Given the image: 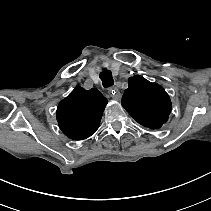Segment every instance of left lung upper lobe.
<instances>
[{"label":"left lung upper lobe","instance_id":"1","mask_svg":"<svg viewBox=\"0 0 211 211\" xmlns=\"http://www.w3.org/2000/svg\"><path fill=\"white\" fill-rule=\"evenodd\" d=\"M122 106L142 126L160 128L171 112V100L162 86L142 76L130 77Z\"/></svg>","mask_w":211,"mask_h":211}]
</instances>
